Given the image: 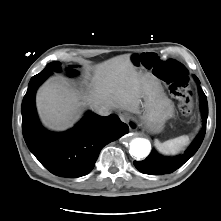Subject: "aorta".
Masks as SVG:
<instances>
[{
  "label": "aorta",
  "instance_id": "762f6f07",
  "mask_svg": "<svg viewBox=\"0 0 221 221\" xmlns=\"http://www.w3.org/2000/svg\"><path fill=\"white\" fill-rule=\"evenodd\" d=\"M130 150L133 156L137 158H144L149 155L151 145L146 139L134 138L130 143Z\"/></svg>",
  "mask_w": 221,
  "mask_h": 221
}]
</instances>
